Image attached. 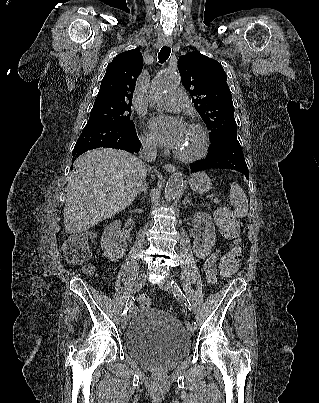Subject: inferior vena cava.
<instances>
[{
	"instance_id": "obj_1",
	"label": "inferior vena cava",
	"mask_w": 319,
	"mask_h": 403,
	"mask_svg": "<svg viewBox=\"0 0 319 403\" xmlns=\"http://www.w3.org/2000/svg\"><path fill=\"white\" fill-rule=\"evenodd\" d=\"M141 142H142V150L140 152L141 159L147 162L155 161L157 156V149L155 142L144 139Z\"/></svg>"
}]
</instances>
